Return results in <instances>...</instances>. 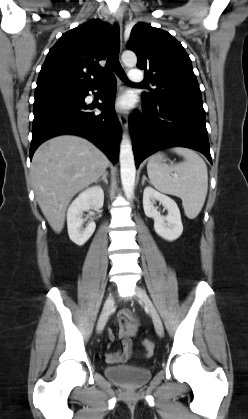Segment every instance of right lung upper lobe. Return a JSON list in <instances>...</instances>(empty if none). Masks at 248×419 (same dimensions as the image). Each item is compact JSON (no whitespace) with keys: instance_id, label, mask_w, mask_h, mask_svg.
Instances as JSON below:
<instances>
[{"instance_id":"1","label":"right lung upper lobe","mask_w":248,"mask_h":419,"mask_svg":"<svg viewBox=\"0 0 248 419\" xmlns=\"http://www.w3.org/2000/svg\"><path fill=\"white\" fill-rule=\"evenodd\" d=\"M111 25L88 21L63 34L49 50L37 80L35 96L77 93L97 85L108 53Z\"/></svg>"}]
</instances>
